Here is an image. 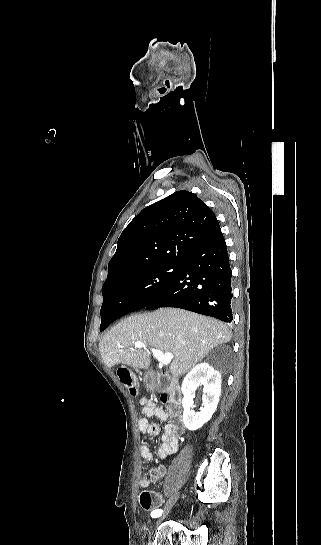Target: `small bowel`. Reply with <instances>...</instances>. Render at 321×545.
<instances>
[{
    "mask_svg": "<svg viewBox=\"0 0 321 545\" xmlns=\"http://www.w3.org/2000/svg\"><path fill=\"white\" fill-rule=\"evenodd\" d=\"M140 404L142 406V417L138 421V427L141 435L152 439L161 431V427L158 424L150 423L148 418L156 417L160 421L166 422L157 454L159 458L164 459L176 453L179 448V437L183 431L182 425L178 422V412L172 407L165 411L163 408L156 406L154 401L148 397H142ZM140 454L147 462H152L154 459L153 453L146 442L140 446ZM164 474L165 468L163 466L152 467L140 476L139 486L146 488L150 483L158 482Z\"/></svg>",
    "mask_w": 321,
    "mask_h": 545,
    "instance_id": "obj_1",
    "label": "small bowel"
}]
</instances>
